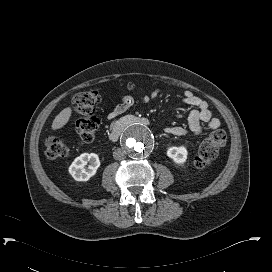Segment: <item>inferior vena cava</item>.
Wrapping results in <instances>:
<instances>
[{
  "mask_svg": "<svg viewBox=\"0 0 272 272\" xmlns=\"http://www.w3.org/2000/svg\"><path fill=\"white\" fill-rule=\"evenodd\" d=\"M113 157L115 160H123L126 158V154L122 149L118 148L113 152Z\"/></svg>",
  "mask_w": 272,
  "mask_h": 272,
  "instance_id": "inferior-vena-cava-1",
  "label": "inferior vena cava"
}]
</instances>
